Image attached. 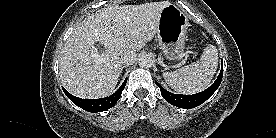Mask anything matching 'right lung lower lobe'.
Masks as SVG:
<instances>
[{
    "instance_id": "98d812e1",
    "label": "right lung lower lobe",
    "mask_w": 276,
    "mask_h": 138,
    "mask_svg": "<svg viewBox=\"0 0 276 138\" xmlns=\"http://www.w3.org/2000/svg\"><path fill=\"white\" fill-rule=\"evenodd\" d=\"M127 79L123 82L121 87L111 96L100 98V99H82L75 97L71 95L67 90H65L63 87V91L66 94V96L77 106L81 107L82 109L89 111V112H100V111H106L110 108H112L117 101L120 99L121 93L123 89L125 88Z\"/></svg>"
}]
</instances>
